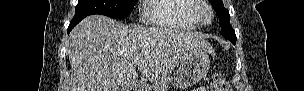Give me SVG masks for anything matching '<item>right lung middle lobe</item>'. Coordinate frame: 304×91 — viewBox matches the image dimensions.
<instances>
[{
	"label": "right lung middle lobe",
	"instance_id": "obj_1",
	"mask_svg": "<svg viewBox=\"0 0 304 91\" xmlns=\"http://www.w3.org/2000/svg\"><path fill=\"white\" fill-rule=\"evenodd\" d=\"M137 0H79L75 8L76 17L101 14L111 18H126Z\"/></svg>",
	"mask_w": 304,
	"mask_h": 91
}]
</instances>
